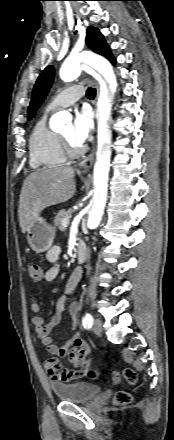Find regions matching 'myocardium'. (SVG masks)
<instances>
[{"mask_svg": "<svg viewBox=\"0 0 174 440\" xmlns=\"http://www.w3.org/2000/svg\"><path fill=\"white\" fill-rule=\"evenodd\" d=\"M59 136L61 139L63 151L67 157L76 158L84 152V148L82 146L74 147L65 136H63L62 134H60Z\"/></svg>", "mask_w": 174, "mask_h": 440, "instance_id": "myocardium-1", "label": "myocardium"}]
</instances>
